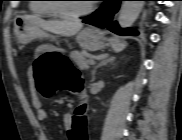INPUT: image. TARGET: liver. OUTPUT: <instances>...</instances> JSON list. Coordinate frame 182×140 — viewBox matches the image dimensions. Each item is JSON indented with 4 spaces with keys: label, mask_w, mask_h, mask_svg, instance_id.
Wrapping results in <instances>:
<instances>
[{
    "label": "liver",
    "mask_w": 182,
    "mask_h": 140,
    "mask_svg": "<svg viewBox=\"0 0 182 140\" xmlns=\"http://www.w3.org/2000/svg\"><path fill=\"white\" fill-rule=\"evenodd\" d=\"M24 17L37 27L41 28L43 31H48L54 34H59L67 37L75 35L83 27V24L79 21H45L40 17L33 15Z\"/></svg>",
    "instance_id": "liver-1"
}]
</instances>
